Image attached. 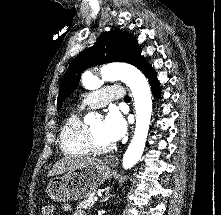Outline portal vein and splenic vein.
Masks as SVG:
<instances>
[{"instance_id": "portal-vein-and-splenic-vein-1", "label": "portal vein and splenic vein", "mask_w": 221, "mask_h": 215, "mask_svg": "<svg viewBox=\"0 0 221 215\" xmlns=\"http://www.w3.org/2000/svg\"><path fill=\"white\" fill-rule=\"evenodd\" d=\"M93 200H94V201H97V200H98V197H97V196L93 197Z\"/></svg>"}]
</instances>
